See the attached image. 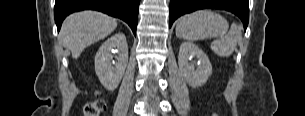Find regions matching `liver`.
Wrapping results in <instances>:
<instances>
[{"mask_svg":"<svg viewBox=\"0 0 305 116\" xmlns=\"http://www.w3.org/2000/svg\"><path fill=\"white\" fill-rule=\"evenodd\" d=\"M117 27V20L97 11H82L69 15L63 22L60 40L77 59L89 45L104 39Z\"/></svg>","mask_w":305,"mask_h":116,"instance_id":"1","label":"liver"}]
</instances>
